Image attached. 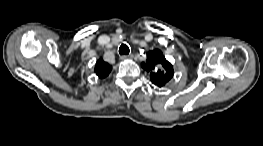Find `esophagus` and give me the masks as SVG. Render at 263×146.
Masks as SVG:
<instances>
[{"label": "esophagus", "mask_w": 263, "mask_h": 146, "mask_svg": "<svg viewBox=\"0 0 263 146\" xmlns=\"http://www.w3.org/2000/svg\"><path fill=\"white\" fill-rule=\"evenodd\" d=\"M129 58H130L129 55H122V56H120L121 60H126V59H129Z\"/></svg>", "instance_id": "obj_1"}]
</instances>
